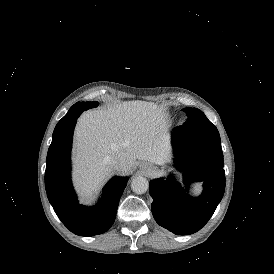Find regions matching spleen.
Masks as SVG:
<instances>
[{"label":"spleen","mask_w":274,"mask_h":274,"mask_svg":"<svg viewBox=\"0 0 274 274\" xmlns=\"http://www.w3.org/2000/svg\"><path fill=\"white\" fill-rule=\"evenodd\" d=\"M198 189H199V186L196 185V186L194 187V190L197 191Z\"/></svg>","instance_id":"1"}]
</instances>
